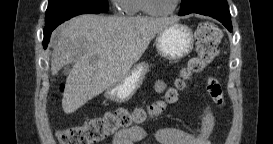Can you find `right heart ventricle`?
<instances>
[{
	"label": "right heart ventricle",
	"mask_w": 273,
	"mask_h": 144,
	"mask_svg": "<svg viewBox=\"0 0 273 144\" xmlns=\"http://www.w3.org/2000/svg\"><path fill=\"white\" fill-rule=\"evenodd\" d=\"M122 10L127 15H135L141 11V0H124Z\"/></svg>",
	"instance_id": "right-heart-ventricle-1"
}]
</instances>
